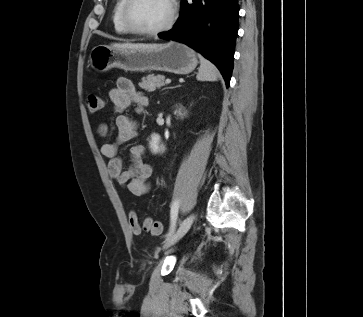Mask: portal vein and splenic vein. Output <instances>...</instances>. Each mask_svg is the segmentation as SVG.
<instances>
[{
  "mask_svg": "<svg viewBox=\"0 0 363 317\" xmlns=\"http://www.w3.org/2000/svg\"><path fill=\"white\" fill-rule=\"evenodd\" d=\"M165 83H166V84H170V83H171V80H170V79H166V80H165Z\"/></svg>",
  "mask_w": 363,
  "mask_h": 317,
  "instance_id": "obj_1",
  "label": "portal vein and splenic vein"
}]
</instances>
